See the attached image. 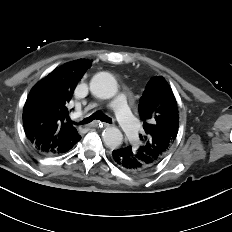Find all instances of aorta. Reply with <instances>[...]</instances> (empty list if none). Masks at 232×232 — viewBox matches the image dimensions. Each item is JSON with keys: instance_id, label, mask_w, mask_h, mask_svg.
<instances>
[{"instance_id": "1", "label": "aorta", "mask_w": 232, "mask_h": 232, "mask_svg": "<svg viewBox=\"0 0 232 232\" xmlns=\"http://www.w3.org/2000/svg\"><path fill=\"white\" fill-rule=\"evenodd\" d=\"M90 91L100 99H110L118 92L117 81L110 73L100 72L91 79ZM102 136L105 145L110 149H116L123 141V135L116 127L105 128Z\"/></svg>"}]
</instances>
